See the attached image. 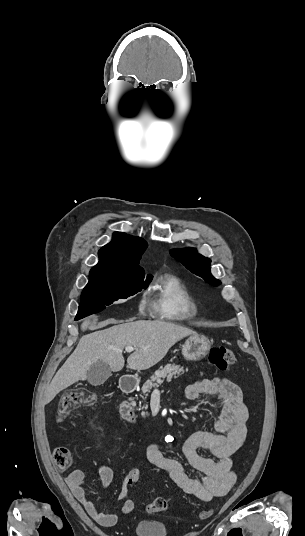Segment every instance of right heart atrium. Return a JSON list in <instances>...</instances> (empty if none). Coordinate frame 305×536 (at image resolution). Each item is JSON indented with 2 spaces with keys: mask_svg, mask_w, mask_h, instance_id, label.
<instances>
[{
  "mask_svg": "<svg viewBox=\"0 0 305 536\" xmlns=\"http://www.w3.org/2000/svg\"><path fill=\"white\" fill-rule=\"evenodd\" d=\"M143 305H144V300H143V299H141V301H140V307L142 308V307H143Z\"/></svg>",
  "mask_w": 305,
  "mask_h": 536,
  "instance_id": "1",
  "label": "right heart atrium"
}]
</instances>
